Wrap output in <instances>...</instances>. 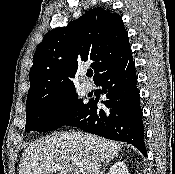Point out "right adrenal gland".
I'll list each match as a JSON object with an SVG mask.
<instances>
[{
	"instance_id": "right-adrenal-gland-1",
	"label": "right adrenal gland",
	"mask_w": 175,
	"mask_h": 174,
	"mask_svg": "<svg viewBox=\"0 0 175 174\" xmlns=\"http://www.w3.org/2000/svg\"><path fill=\"white\" fill-rule=\"evenodd\" d=\"M115 157H117V155H116ZM113 158H114V157H113ZM113 158H112V159H113ZM112 159H109V160L106 161V163L104 164L103 170H105V167L110 163V161H111ZM103 173H104V172H102L101 174H103Z\"/></svg>"
}]
</instances>
